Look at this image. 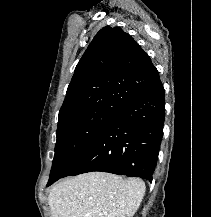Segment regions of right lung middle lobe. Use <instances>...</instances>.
<instances>
[{
	"mask_svg": "<svg viewBox=\"0 0 211 217\" xmlns=\"http://www.w3.org/2000/svg\"><path fill=\"white\" fill-rule=\"evenodd\" d=\"M117 112L98 111L66 120L57 127V142L50 173L60 178L91 147Z\"/></svg>",
	"mask_w": 211,
	"mask_h": 217,
	"instance_id": "1",
	"label": "right lung middle lobe"
}]
</instances>
